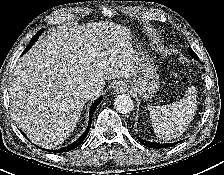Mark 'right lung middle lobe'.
<instances>
[{"label": "right lung middle lobe", "instance_id": "dd1d6c3e", "mask_svg": "<svg viewBox=\"0 0 224 175\" xmlns=\"http://www.w3.org/2000/svg\"><path fill=\"white\" fill-rule=\"evenodd\" d=\"M42 32H43V29L40 30L36 35L39 37Z\"/></svg>", "mask_w": 224, "mask_h": 175}]
</instances>
